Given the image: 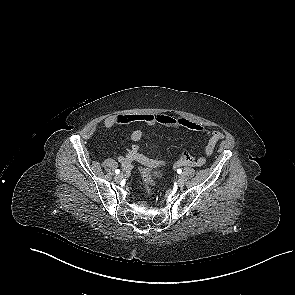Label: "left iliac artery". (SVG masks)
Listing matches in <instances>:
<instances>
[{
  "instance_id": "obj_1",
  "label": "left iliac artery",
  "mask_w": 295,
  "mask_h": 295,
  "mask_svg": "<svg viewBox=\"0 0 295 295\" xmlns=\"http://www.w3.org/2000/svg\"><path fill=\"white\" fill-rule=\"evenodd\" d=\"M177 173L178 174H181L182 173V170L181 169H177Z\"/></svg>"
}]
</instances>
